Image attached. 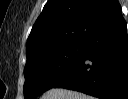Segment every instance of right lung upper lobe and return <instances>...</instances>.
<instances>
[{"label": "right lung upper lobe", "mask_w": 128, "mask_h": 99, "mask_svg": "<svg viewBox=\"0 0 128 99\" xmlns=\"http://www.w3.org/2000/svg\"><path fill=\"white\" fill-rule=\"evenodd\" d=\"M121 11L117 0H48L27 40V59L56 47L85 42Z\"/></svg>", "instance_id": "cb5924a9"}]
</instances>
